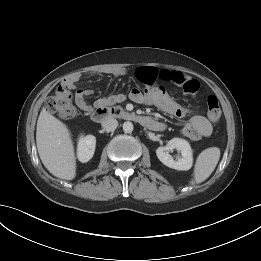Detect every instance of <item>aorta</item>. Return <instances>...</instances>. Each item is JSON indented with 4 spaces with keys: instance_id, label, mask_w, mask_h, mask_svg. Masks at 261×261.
Wrapping results in <instances>:
<instances>
[{
    "instance_id": "aorta-1",
    "label": "aorta",
    "mask_w": 261,
    "mask_h": 261,
    "mask_svg": "<svg viewBox=\"0 0 261 261\" xmlns=\"http://www.w3.org/2000/svg\"><path fill=\"white\" fill-rule=\"evenodd\" d=\"M133 129H134V126H133L132 122H130V121L124 122L123 131L125 133H131L133 131Z\"/></svg>"
}]
</instances>
